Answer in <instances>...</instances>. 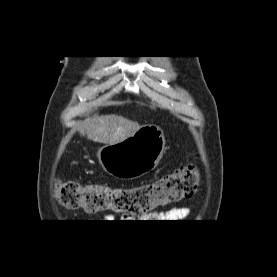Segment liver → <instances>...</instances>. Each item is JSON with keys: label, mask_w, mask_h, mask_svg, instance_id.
<instances>
[{"label": "liver", "mask_w": 277, "mask_h": 277, "mask_svg": "<svg viewBox=\"0 0 277 277\" xmlns=\"http://www.w3.org/2000/svg\"><path fill=\"white\" fill-rule=\"evenodd\" d=\"M140 126L117 115L95 116L84 120L78 131L88 139L104 144H116L133 135Z\"/></svg>", "instance_id": "liver-1"}]
</instances>
